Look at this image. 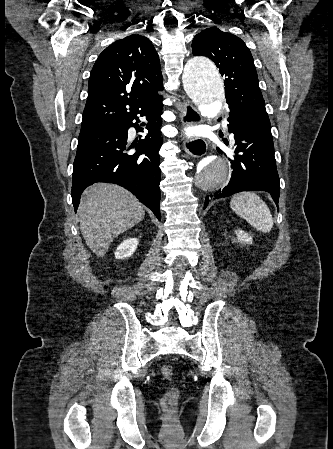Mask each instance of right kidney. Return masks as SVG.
Instances as JSON below:
<instances>
[{
  "label": "right kidney",
  "mask_w": 333,
  "mask_h": 449,
  "mask_svg": "<svg viewBox=\"0 0 333 449\" xmlns=\"http://www.w3.org/2000/svg\"><path fill=\"white\" fill-rule=\"evenodd\" d=\"M138 246L137 238H128L124 240L115 251L116 259H124L130 257Z\"/></svg>",
  "instance_id": "obj_1"
}]
</instances>
